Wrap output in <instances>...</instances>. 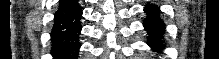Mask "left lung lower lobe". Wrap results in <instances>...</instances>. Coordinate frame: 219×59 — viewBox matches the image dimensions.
<instances>
[{
    "label": "left lung lower lobe",
    "instance_id": "left-lung-lower-lobe-1",
    "mask_svg": "<svg viewBox=\"0 0 219 59\" xmlns=\"http://www.w3.org/2000/svg\"><path fill=\"white\" fill-rule=\"evenodd\" d=\"M145 9L147 17L143 25L149 35L147 43L153 50L159 52L165 47L163 41L165 25L160 19V11L158 7L148 4Z\"/></svg>",
    "mask_w": 219,
    "mask_h": 59
}]
</instances>
